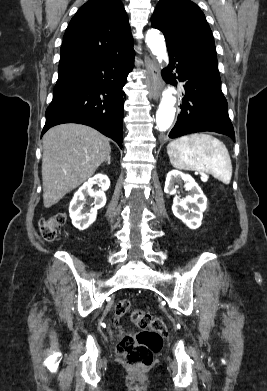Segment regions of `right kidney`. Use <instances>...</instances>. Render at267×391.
Masks as SVG:
<instances>
[{"instance_id": "ca27d5eb", "label": "right kidney", "mask_w": 267, "mask_h": 391, "mask_svg": "<svg viewBox=\"0 0 267 391\" xmlns=\"http://www.w3.org/2000/svg\"><path fill=\"white\" fill-rule=\"evenodd\" d=\"M98 184L101 189L97 192L92 190V185ZM110 180L106 175L97 174L90 178L88 182H85L79 190L75 193L69 206V213L72 219L73 225L79 230L87 229L95 220L97 216V210L101 209L106 204L105 191L109 189ZM89 195L94 197V202L89 212L82 214L85 197Z\"/></svg>"}]
</instances>
